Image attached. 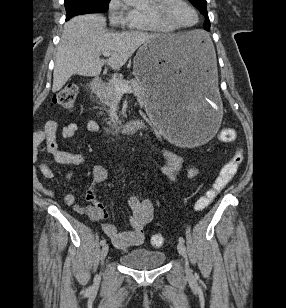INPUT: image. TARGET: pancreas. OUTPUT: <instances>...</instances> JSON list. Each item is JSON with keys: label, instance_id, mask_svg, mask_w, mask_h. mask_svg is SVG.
Masks as SVG:
<instances>
[{"label": "pancreas", "instance_id": "obj_1", "mask_svg": "<svg viewBox=\"0 0 286 308\" xmlns=\"http://www.w3.org/2000/svg\"><path fill=\"white\" fill-rule=\"evenodd\" d=\"M121 83L127 85L133 89V94L138 98L140 102H145L146 98V89L145 87L137 80H124L122 77L117 78ZM97 98L100 103L111 107L118 96L117 91L114 86V81L111 80L108 83L104 84L97 92ZM118 121V116L114 119L109 118L108 124L116 123Z\"/></svg>", "mask_w": 286, "mask_h": 308}]
</instances>
